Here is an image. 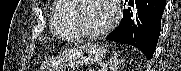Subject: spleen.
<instances>
[{"label":"spleen","mask_w":181,"mask_h":71,"mask_svg":"<svg viewBox=\"0 0 181 71\" xmlns=\"http://www.w3.org/2000/svg\"><path fill=\"white\" fill-rule=\"evenodd\" d=\"M120 56V51H114L113 56L109 61V68L111 71H117L119 65L121 64V61L118 59Z\"/></svg>","instance_id":"1"}]
</instances>
